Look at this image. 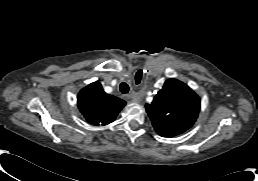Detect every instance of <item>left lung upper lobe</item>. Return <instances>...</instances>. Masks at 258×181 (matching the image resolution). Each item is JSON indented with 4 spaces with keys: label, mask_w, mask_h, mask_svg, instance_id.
Returning <instances> with one entry per match:
<instances>
[{
    "label": "left lung upper lobe",
    "mask_w": 258,
    "mask_h": 181,
    "mask_svg": "<svg viewBox=\"0 0 258 181\" xmlns=\"http://www.w3.org/2000/svg\"><path fill=\"white\" fill-rule=\"evenodd\" d=\"M200 98L186 84L168 79L146 111L156 132L173 137L189 129L197 119Z\"/></svg>",
    "instance_id": "5c2ea615"
}]
</instances>
